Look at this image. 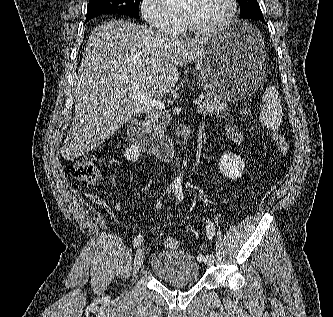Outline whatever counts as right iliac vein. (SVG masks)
<instances>
[{"label": "right iliac vein", "instance_id": "obj_1", "mask_svg": "<svg viewBox=\"0 0 333 317\" xmlns=\"http://www.w3.org/2000/svg\"><path fill=\"white\" fill-rule=\"evenodd\" d=\"M144 258H145L144 251L141 248L138 249L135 254V258H134V271H133L134 275H136V273L141 268V266L144 262Z\"/></svg>", "mask_w": 333, "mask_h": 317}]
</instances>
